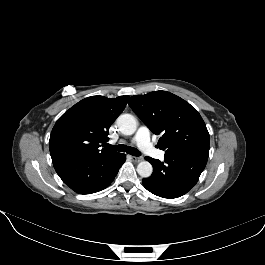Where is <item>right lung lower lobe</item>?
I'll return each mask as SVG.
<instances>
[{
  "instance_id": "1",
  "label": "right lung lower lobe",
  "mask_w": 265,
  "mask_h": 265,
  "mask_svg": "<svg viewBox=\"0 0 265 265\" xmlns=\"http://www.w3.org/2000/svg\"><path fill=\"white\" fill-rule=\"evenodd\" d=\"M125 160V154L113 153L55 164L54 168L62 181L75 192L91 194L110 185Z\"/></svg>"
}]
</instances>
